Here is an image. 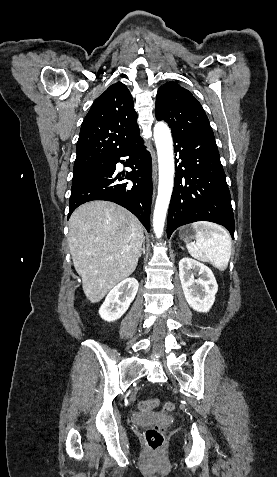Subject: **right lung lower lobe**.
<instances>
[{
  "mask_svg": "<svg viewBox=\"0 0 277 477\" xmlns=\"http://www.w3.org/2000/svg\"><path fill=\"white\" fill-rule=\"evenodd\" d=\"M122 157H127V161ZM118 162L127 164L132 171L119 173ZM124 179L131 180L133 186L122 183ZM92 200L112 201L125 207L150 231L151 156L141 137L72 179L68 218L79 205Z\"/></svg>",
  "mask_w": 277,
  "mask_h": 477,
  "instance_id": "98d812e1",
  "label": "right lung lower lobe"
}]
</instances>
